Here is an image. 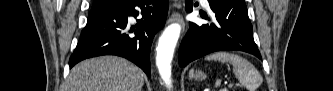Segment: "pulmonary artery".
<instances>
[{
    "label": "pulmonary artery",
    "mask_w": 333,
    "mask_h": 91,
    "mask_svg": "<svg viewBox=\"0 0 333 91\" xmlns=\"http://www.w3.org/2000/svg\"><path fill=\"white\" fill-rule=\"evenodd\" d=\"M202 3L208 10H210L207 0H202Z\"/></svg>",
    "instance_id": "obj_1"
}]
</instances>
